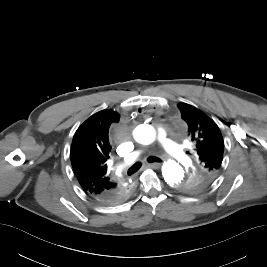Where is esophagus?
<instances>
[{"instance_id": "esophagus-1", "label": "esophagus", "mask_w": 267, "mask_h": 267, "mask_svg": "<svg viewBox=\"0 0 267 267\" xmlns=\"http://www.w3.org/2000/svg\"><path fill=\"white\" fill-rule=\"evenodd\" d=\"M147 166L151 168H159L161 164L160 163H148Z\"/></svg>"}]
</instances>
